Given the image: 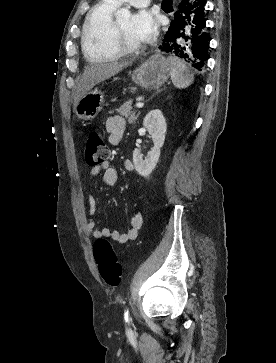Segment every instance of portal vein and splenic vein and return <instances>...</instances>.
Returning a JSON list of instances; mask_svg holds the SVG:
<instances>
[{"instance_id": "1", "label": "portal vein and splenic vein", "mask_w": 276, "mask_h": 363, "mask_svg": "<svg viewBox=\"0 0 276 363\" xmlns=\"http://www.w3.org/2000/svg\"><path fill=\"white\" fill-rule=\"evenodd\" d=\"M144 106V103H142V102H138L137 104H136V107L137 108H142Z\"/></svg>"}]
</instances>
